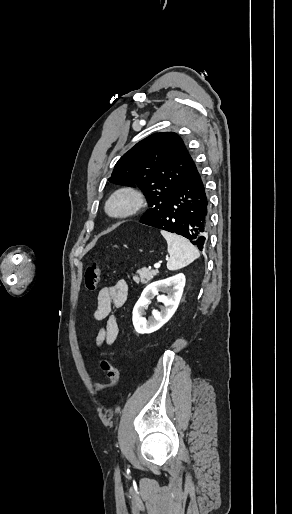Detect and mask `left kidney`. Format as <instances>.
Here are the masks:
<instances>
[{
	"instance_id": "5707ae66",
	"label": "left kidney",
	"mask_w": 292,
	"mask_h": 514,
	"mask_svg": "<svg viewBox=\"0 0 292 514\" xmlns=\"http://www.w3.org/2000/svg\"><path fill=\"white\" fill-rule=\"evenodd\" d=\"M185 282L184 274H177L167 280H158V282H152L146 286L132 312L133 326L138 334H152L172 318L182 298ZM158 292H166L168 296H159ZM154 296H157L158 302H162L164 306L161 308V312L153 310L151 318L146 320L144 318L146 306L150 304V300Z\"/></svg>"
}]
</instances>
